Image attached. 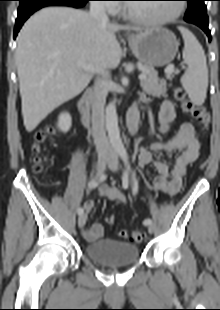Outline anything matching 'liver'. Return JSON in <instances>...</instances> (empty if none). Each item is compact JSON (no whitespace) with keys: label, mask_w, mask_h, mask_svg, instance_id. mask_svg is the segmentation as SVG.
<instances>
[{"label":"liver","mask_w":220,"mask_h":310,"mask_svg":"<svg viewBox=\"0 0 220 310\" xmlns=\"http://www.w3.org/2000/svg\"><path fill=\"white\" fill-rule=\"evenodd\" d=\"M137 27L100 23L86 11L44 8L22 27L15 53L22 116L32 132L48 114L79 95L94 72L119 65L121 47L115 33ZM81 63L95 71L83 69Z\"/></svg>","instance_id":"liver-1"}]
</instances>
